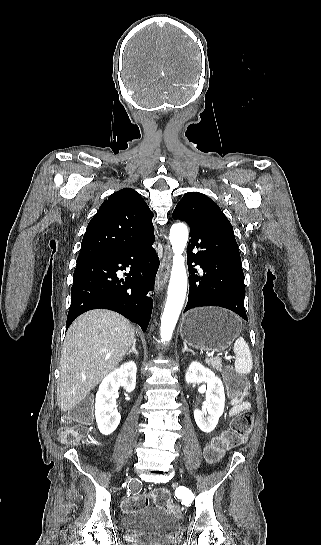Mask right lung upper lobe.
Returning a JSON list of instances; mask_svg holds the SVG:
<instances>
[{"label": "right lung upper lobe", "mask_w": 321, "mask_h": 545, "mask_svg": "<svg viewBox=\"0 0 321 545\" xmlns=\"http://www.w3.org/2000/svg\"><path fill=\"white\" fill-rule=\"evenodd\" d=\"M153 212L133 189L106 199L89 222L77 261L119 253L154 235Z\"/></svg>", "instance_id": "obj_1"}]
</instances>
